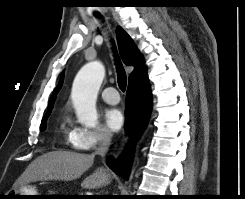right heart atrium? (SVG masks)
Wrapping results in <instances>:
<instances>
[{"label":"right heart atrium","mask_w":245,"mask_h":199,"mask_svg":"<svg viewBox=\"0 0 245 199\" xmlns=\"http://www.w3.org/2000/svg\"><path fill=\"white\" fill-rule=\"evenodd\" d=\"M111 133L103 126L93 128L74 127L72 135V146L77 150H92L99 146L109 144Z\"/></svg>","instance_id":"d8ad5b80"}]
</instances>
